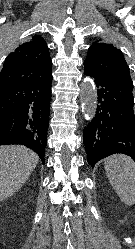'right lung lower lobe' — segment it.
Listing matches in <instances>:
<instances>
[{"label":"right lung lower lobe","instance_id":"obj_1","mask_svg":"<svg viewBox=\"0 0 135 249\" xmlns=\"http://www.w3.org/2000/svg\"><path fill=\"white\" fill-rule=\"evenodd\" d=\"M52 76L0 86V145L31 148L45 163Z\"/></svg>","mask_w":135,"mask_h":249}]
</instances>
